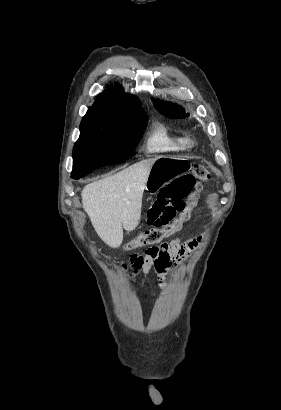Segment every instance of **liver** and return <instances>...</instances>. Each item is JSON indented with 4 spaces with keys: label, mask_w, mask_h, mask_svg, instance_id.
<instances>
[{
    "label": "liver",
    "mask_w": 281,
    "mask_h": 410,
    "mask_svg": "<svg viewBox=\"0 0 281 410\" xmlns=\"http://www.w3.org/2000/svg\"><path fill=\"white\" fill-rule=\"evenodd\" d=\"M155 160H142L83 188V209L98 236L110 247L121 245L123 228L129 232L138 226L143 192Z\"/></svg>",
    "instance_id": "obj_1"
}]
</instances>
